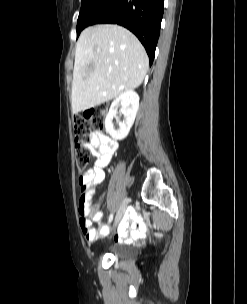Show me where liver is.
I'll return each instance as SVG.
<instances>
[{"label": "liver", "instance_id": "6515ba94", "mask_svg": "<svg viewBox=\"0 0 247 304\" xmlns=\"http://www.w3.org/2000/svg\"><path fill=\"white\" fill-rule=\"evenodd\" d=\"M148 67L144 47L129 30L111 24L86 28L76 44L71 93L73 114L139 87Z\"/></svg>", "mask_w": 247, "mask_h": 304}]
</instances>
